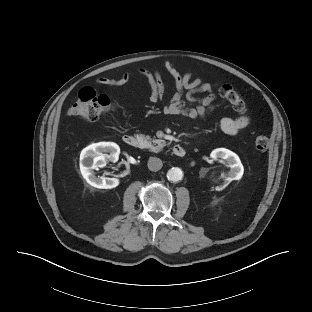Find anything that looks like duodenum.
Wrapping results in <instances>:
<instances>
[{
  "instance_id": "1",
  "label": "duodenum",
  "mask_w": 312,
  "mask_h": 312,
  "mask_svg": "<svg viewBox=\"0 0 312 312\" xmlns=\"http://www.w3.org/2000/svg\"><path fill=\"white\" fill-rule=\"evenodd\" d=\"M123 143L129 147H136L139 141L134 135L126 134L123 136ZM172 152L178 157H183L185 155V148L181 145H175L172 148Z\"/></svg>"
}]
</instances>
